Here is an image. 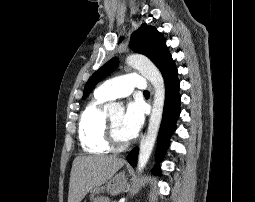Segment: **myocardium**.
Segmentation results:
<instances>
[{"mask_svg":"<svg viewBox=\"0 0 255 202\" xmlns=\"http://www.w3.org/2000/svg\"><path fill=\"white\" fill-rule=\"evenodd\" d=\"M105 140H106L107 144L109 145V147L115 151L125 150L133 142V138L126 140V141H121L117 138L116 133H115V128H114V125H113L110 117L106 118Z\"/></svg>","mask_w":255,"mask_h":202,"instance_id":"myocardium-1","label":"myocardium"}]
</instances>
